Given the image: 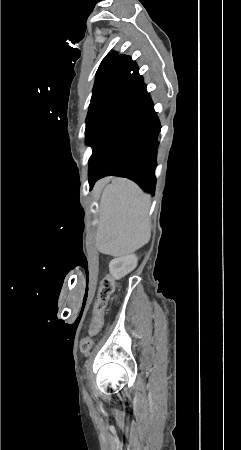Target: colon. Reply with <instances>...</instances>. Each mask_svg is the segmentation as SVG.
<instances>
[{
    "mask_svg": "<svg viewBox=\"0 0 241 450\" xmlns=\"http://www.w3.org/2000/svg\"><path fill=\"white\" fill-rule=\"evenodd\" d=\"M115 289V282L111 276H106L102 280V285L98 293V298L94 305L92 306V321L89 324L91 330H98L103 324V315L106 313L105 303L108 300ZM81 347L79 348V353L81 355H86L89 353L93 347V340L89 337L84 338L81 342Z\"/></svg>",
    "mask_w": 241,
    "mask_h": 450,
    "instance_id": "obj_1",
    "label": "colon"
}]
</instances>
